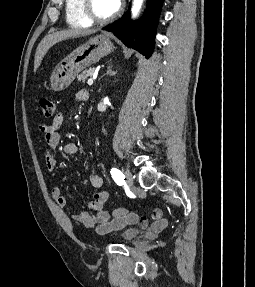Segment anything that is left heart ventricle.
I'll use <instances>...</instances> for the list:
<instances>
[{
	"label": "left heart ventricle",
	"instance_id": "obj_1",
	"mask_svg": "<svg viewBox=\"0 0 255 287\" xmlns=\"http://www.w3.org/2000/svg\"><path fill=\"white\" fill-rule=\"evenodd\" d=\"M97 33H123V32H97ZM95 39H106V38H95ZM109 39H125V38H109ZM91 48H108V47H91ZM110 48H131V47H110Z\"/></svg>",
	"mask_w": 255,
	"mask_h": 287
}]
</instances>
